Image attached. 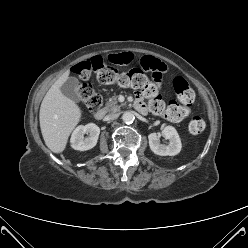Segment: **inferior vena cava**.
Returning <instances> with one entry per match:
<instances>
[{"label":"inferior vena cava","instance_id":"obj_1","mask_svg":"<svg viewBox=\"0 0 248 248\" xmlns=\"http://www.w3.org/2000/svg\"><path fill=\"white\" fill-rule=\"evenodd\" d=\"M118 114H108L105 116L104 120L106 121H110V120H115L118 118Z\"/></svg>","mask_w":248,"mask_h":248}]
</instances>
